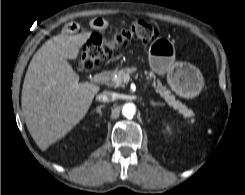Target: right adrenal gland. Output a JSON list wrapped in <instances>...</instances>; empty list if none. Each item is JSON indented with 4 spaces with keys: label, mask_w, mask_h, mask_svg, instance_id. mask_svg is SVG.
<instances>
[{
    "label": "right adrenal gland",
    "mask_w": 245,
    "mask_h": 195,
    "mask_svg": "<svg viewBox=\"0 0 245 195\" xmlns=\"http://www.w3.org/2000/svg\"><path fill=\"white\" fill-rule=\"evenodd\" d=\"M104 107H105V104L99 105V106L96 107V109L93 112H96V113H98L101 116L102 115L101 109L104 108Z\"/></svg>",
    "instance_id": "1"
}]
</instances>
